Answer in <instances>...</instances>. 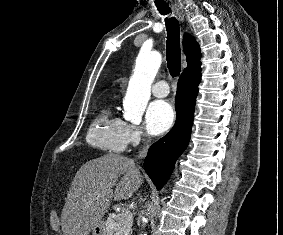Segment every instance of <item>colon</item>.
Masks as SVG:
<instances>
[{
    "label": "colon",
    "instance_id": "1",
    "mask_svg": "<svg viewBox=\"0 0 283 235\" xmlns=\"http://www.w3.org/2000/svg\"><path fill=\"white\" fill-rule=\"evenodd\" d=\"M51 219H52L53 221H57L58 216H57V213H56V212H52V213H51Z\"/></svg>",
    "mask_w": 283,
    "mask_h": 235
}]
</instances>
